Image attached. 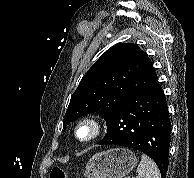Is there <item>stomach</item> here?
Returning <instances> with one entry per match:
<instances>
[{
    "label": "stomach",
    "mask_w": 194,
    "mask_h": 178,
    "mask_svg": "<svg viewBox=\"0 0 194 178\" xmlns=\"http://www.w3.org/2000/svg\"><path fill=\"white\" fill-rule=\"evenodd\" d=\"M137 158L133 151L114 148L93 155L86 164L87 178H124L133 170Z\"/></svg>",
    "instance_id": "stomach-1"
}]
</instances>
